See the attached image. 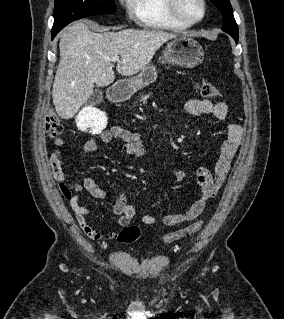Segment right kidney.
I'll return each instance as SVG.
<instances>
[{
  "mask_svg": "<svg viewBox=\"0 0 284 319\" xmlns=\"http://www.w3.org/2000/svg\"><path fill=\"white\" fill-rule=\"evenodd\" d=\"M77 127L81 131L91 128L93 132L101 133L107 125L105 113L93 107L83 108L76 117Z\"/></svg>",
  "mask_w": 284,
  "mask_h": 319,
  "instance_id": "right-kidney-1",
  "label": "right kidney"
}]
</instances>
